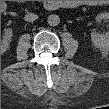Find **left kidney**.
Instances as JSON below:
<instances>
[{
	"instance_id": "obj_1",
	"label": "left kidney",
	"mask_w": 109,
	"mask_h": 109,
	"mask_svg": "<svg viewBox=\"0 0 109 109\" xmlns=\"http://www.w3.org/2000/svg\"><path fill=\"white\" fill-rule=\"evenodd\" d=\"M96 21L97 22H108L109 21V14L108 13H101L96 17ZM91 40L94 44V46H96L97 48H107L109 46V33L105 32L102 34L93 32L91 34Z\"/></svg>"
}]
</instances>
